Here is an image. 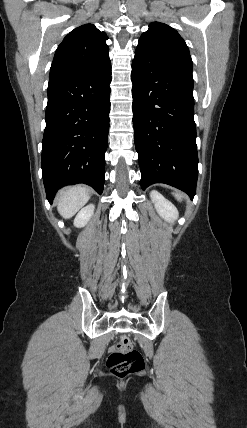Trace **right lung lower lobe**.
<instances>
[{"mask_svg":"<svg viewBox=\"0 0 247 428\" xmlns=\"http://www.w3.org/2000/svg\"><path fill=\"white\" fill-rule=\"evenodd\" d=\"M110 83L109 57L82 73L49 80L42 173L50 203L58 189L77 183L102 194Z\"/></svg>","mask_w":247,"mask_h":428,"instance_id":"right-lung-lower-lobe-1","label":"right lung lower lobe"}]
</instances>
